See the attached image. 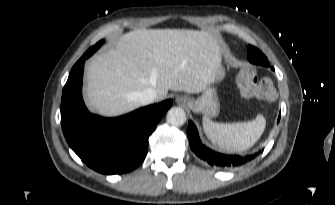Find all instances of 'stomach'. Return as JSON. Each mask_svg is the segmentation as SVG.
<instances>
[{"label": "stomach", "instance_id": "0dacf381", "mask_svg": "<svg viewBox=\"0 0 335 205\" xmlns=\"http://www.w3.org/2000/svg\"><path fill=\"white\" fill-rule=\"evenodd\" d=\"M225 75L226 70L222 65H220L215 73L212 87L206 88L202 95L197 99L186 97L188 99V107L193 112L202 113L208 117L217 116L220 110V103L218 100L217 90L214 85L220 83L225 78Z\"/></svg>", "mask_w": 335, "mask_h": 205}]
</instances>
